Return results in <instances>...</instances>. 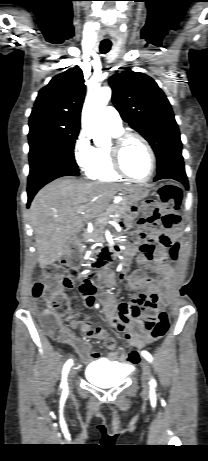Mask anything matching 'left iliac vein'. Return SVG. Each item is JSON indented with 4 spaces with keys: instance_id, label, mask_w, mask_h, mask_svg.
Returning a JSON list of instances; mask_svg holds the SVG:
<instances>
[{
    "instance_id": "4c4485c4",
    "label": "left iliac vein",
    "mask_w": 208,
    "mask_h": 461,
    "mask_svg": "<svg viewBox=\"0 0 208 461\" xmlns=\"http://www.w3.org/2000/svg\"><path fill=\"white\" fill-rule=\"evenodd\" d=\"M142 385L145 390L149 388V383L151 379L150 365L147 360H142Z\"/></svg>"
}]
</instances>
